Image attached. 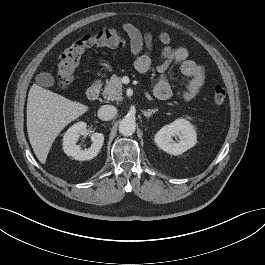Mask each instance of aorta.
<instances>
[{
  "mask_svg": "<svg viewBox=\"0 0 265 265\" xmlns=\"http://www.w3.org/2000/svg\"><path fill=\"white\" fill-rule=\"evenodd\" d=\"M136 122L131 117H125L119 124V132L124 136H130L135 132Z\"/></svg>",
  "mask_w": 265,
  "mask_h": 265,
  "instance_id": "aorta-1",
  "label": "aorta"
}]
</instances>
